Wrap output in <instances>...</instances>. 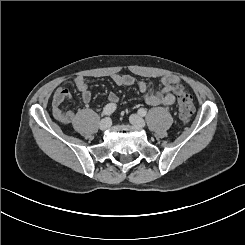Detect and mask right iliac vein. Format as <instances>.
<instances>
[{
	"label": "right iliac vein",
	"instance_id": "right-iliac-vein-1",
	"mask_svg": "<svg viewBox=\"0 0 245 245\" xmlns=\"http://www.w3.org/2000/svg\"><path fill=\"white\" fill-rule=\"evenodd\" d=\"M112 121L110 118H105L103 120H101L99 127L101 130H107L108 128L111 127Z\"/></svg>",
	"mask_w": 245,
	"mask_h": 245
}]
</instances>
